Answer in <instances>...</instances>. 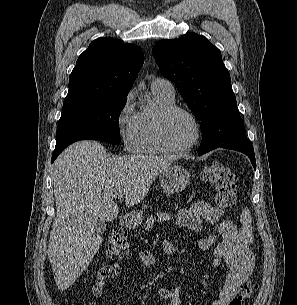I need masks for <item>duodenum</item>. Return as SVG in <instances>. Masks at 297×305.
Returning a JSON list of instances; mask_svg holds the SVG:
<instances>
[{
	"label": "duodenum",
	"instance_id": "obj_1",
	"mask_svg": "<svg viewBox=\"0 0 297 305\" xmlns=\"http://www.w3.org/2000/svg\"><path fill=\"white\" fill-rule=\"evenodd\" d=\"M121 223L127 228H134L137 226L138 221L133 214H125L121 218Z\"/></svg>",
	"mask_w": 297,
	"mask_h": 305
}]
</instances>
